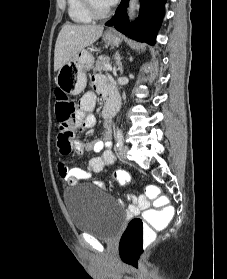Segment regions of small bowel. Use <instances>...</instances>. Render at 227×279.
<instances>
[{
    "label": "small bowel",
    "instance_id": "1",
    "mask_svg": "<svg viewBox=\"0 0 227 279\" xmlns=\"http://www.w3.org/2000/svg\"><path fill=\"white\" fill-rule=\"evenodd\" d=\"M93 87L95 92H86L79 100L78 112L75 117L76 126L81 125L84 128H91L95 125L96 119L92 112L97 105V95L103 96L106 102L108 100H115L117 104L119 102L117 92L111 85L107 84L103 77H94ZM104 128L105 131L100 140L89 142H82L79 140L71 141L70 133L61 128L59 135V150L62 154H67L71 150H74L80 155L86 151L101 153V156L91 158L85 169L60 164L58 173L65 182L75 184L78 181L87 180L91 178L94 173L103 172L106 167L115 162L116 156L113 151L109 149L112 145L110 124L105 123ZM130 196L132 198L131 204L128 208L130 214L139 213L150 207V201L146 197L140 196L137 199L133 194Z\"/></svg>",
    "mask_w": 227,
    "mask_h": 279
}]
</instances>
